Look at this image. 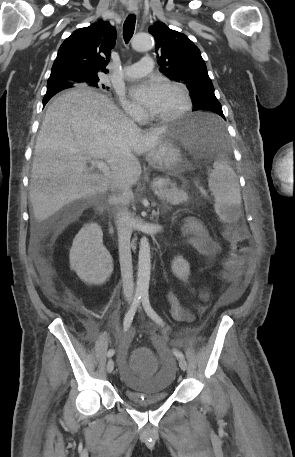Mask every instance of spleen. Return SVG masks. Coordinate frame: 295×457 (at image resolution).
I'll return each mask as SVG.
<instances>
[{
	"label": "spleen",
	"instance_id": "spleen-1",
	"mask_svg": "<svg viewBox=\"0 0 295 457\" xmlns=\"http://www.w3.org/2000/svg\"><path fill=\"white\" fill-rule=\"evenodd\" d=\"M208 183L215 198V212L222 221L233 222L241 204L240 187L234 170L221 156L213 164Z\"/></svg>",
	"mask_w": 295,
	"mask_h": 457
}]
</instances>
